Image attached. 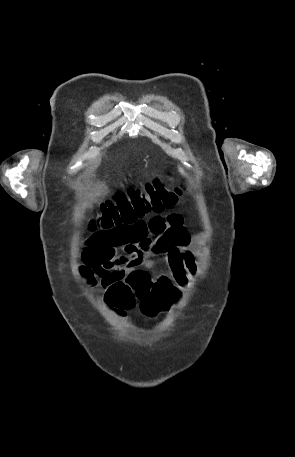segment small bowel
Returning <instances> with one entry per match:
<instances>
[{
	"label": "small bowel",
	"instance_id": "obj_1",
	"mask_svg": "<svg viewBox=\"0 0 295 457\" xmlns=\"http://www.w3.org/2000/svg\"><path fill=\"white\" fill-rule=\"evenodd\" d=\"M199 239V235L188 232L182 214L173 212L139 219L128 226L97 230L87 237L81 258L84 265L92 267L93 263L115 254L118 248L126 252L128 247L134 246L139 252L134 256L136 262L126 269L125 284L135 292L146 280L153 284L168 279L176 299L197 273L199 255L194 247ZM155 255L164 257L167 271L151 276L147 270L153 267ZM101 284L107 288L102 280Z\"/></svg>",
	"mask_w": 295,
	"mask_h": 457
}]
</instances>
